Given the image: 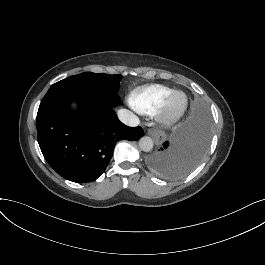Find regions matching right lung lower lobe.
Here are the masks:
<instances>
[{
	"label": "right lung lower lobe",
	"instance_id": "1",
	"mask_svg": "<svg viewBox=\"0 0 265 265\" xmlns=\"http://www.w3.org/2000/svg\"><path fill=\"white\" fill-rule=\"evenodd\" d=\"M78 101L72 112L69 102ZM38 143L49 165L73 182H91L106 169L119 140H138L141 127H128L112 107L57 94L43 99L37 113Z\"/></svg>",
	"mask_w": 265,
	"mask_h": 265
}]
</instances>
